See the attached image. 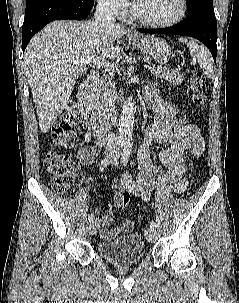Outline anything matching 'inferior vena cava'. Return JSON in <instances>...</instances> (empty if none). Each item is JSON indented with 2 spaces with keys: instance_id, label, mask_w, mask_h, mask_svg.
<instances>
[{
  "instance_id": "1",
  "label": "inferior vena cava",
  "mask_w": 239,
  "mask_h": 303,
  "mask_svg": "<svg viewBox=\"0 0 239 303\" xmlns=\"http://www.w3.org/2000/svg\"><path fill=\"white\" fill-rule=\"evenodd\" d=\"M96 23L101 25L115 23L113 8L110 0H99L94 14ZM118 147V137L115 133H109L107 137V149L116 150Z\"/></svg>"
}]
</instances>
